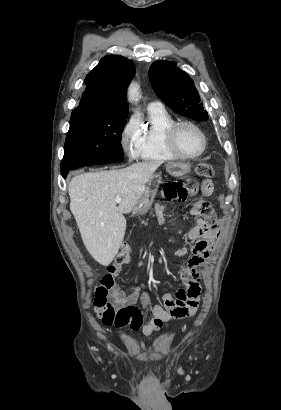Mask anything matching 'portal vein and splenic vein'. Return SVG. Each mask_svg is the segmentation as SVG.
<instances>
[{
  "label": "portal vein and splenic vein",
  "instance_id": "portal-vein-and-splenic-vein-1",
  "mask_svg": "<svg viewBox=\"0 0 281 410\" xmlns=\"http://www.w3.org/2000/svg\"><path fill=\"white\" fill-rule=\"evenodd\" d=\"M121 200H122V198H121L120 196H117V197L115 198V202H116V203H120Z\"/></svg>",
  "mask_w": 281,
  "mask_h": 410
}]
</instances>
